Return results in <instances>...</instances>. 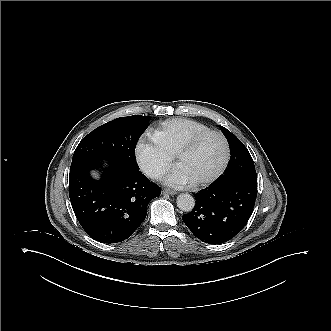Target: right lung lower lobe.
Masks as SVG:
<instances>
[{
    "label": "right lung lower lobe",
    "instance_id": "1",
    "mask_svg": "<svg viewBox=\"0 0 331 331\" xmlns=\"http://www.w3.org/2000/svg\"><path fill=\"white\" fill-rule=\"evenodd\" d=\"M100 165L87 163L70 168L69 196L89 236L102 243H118L145 220L149 202L160 195L161 189L140 171L131 172L115 163H109L101 180H94L89 171Z\"/></svg>",
    "mask_w": 331,
    "mask_h": 331
}]
</instances>
